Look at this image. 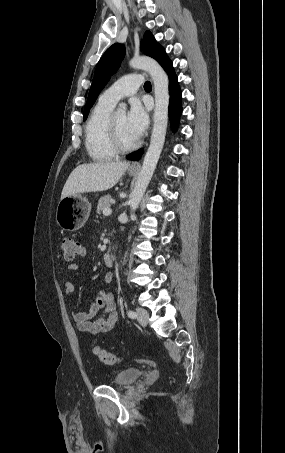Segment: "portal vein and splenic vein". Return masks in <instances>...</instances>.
<instances>
[{
  "label": "portal vein and splenic vein",
  "mask_w": 285,
  "mask_h": 453,
  "mask_svg": "<svg viewBox=\"0 0 285 453\" xmlns=\"http://www.w3.org/2000/svg\"><path fill=\"white\" fill-rule=\"evenodd\" d=\"M111 213H112V210H111L110 208L105 209V210L103 211V214H104L105 216H108V215H110Z\"/></svg>",
  "instance_id": "obj_1"
}]
</instances>
